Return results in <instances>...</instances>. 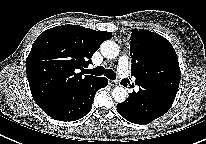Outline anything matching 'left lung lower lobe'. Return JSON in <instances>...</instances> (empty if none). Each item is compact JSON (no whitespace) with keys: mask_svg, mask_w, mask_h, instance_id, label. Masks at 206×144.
<instances>
[{"mask_svg":"<svg viewBox=\"0 0 206 144\" xmlns=\"http://www.w3.org/2000/svg\"><path fill=\"white\" fill-rule=\"evenodd\" d=\"M138 92L129 94L127 100L117 104V110L126 120L135 124H147L164 115L175 99L171 94L155 96L147 92L145 86H139Z\"/></svg>","mask_w":206,"mask_h":144,"instance_id":"1","label":"left lung lower lobe"}]
</instances>
